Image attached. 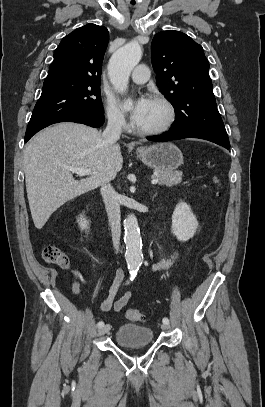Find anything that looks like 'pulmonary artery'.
Here are the masks:
<instances>
[{
	"label": "pulmonary artery",
	"mask_w": 265,
	"mask_h": 407,
	"mask_svg": "<svg viewBox=\"0 0 265 407\" xmlns=\"http://www.w3.org/2000/svg\"><path fill=\"white\" fill-rule=\"evenodd\" d=\"M149 69L146 65H138L135 67L131 74V80L135 84H143L145 83L148 78H149Z\"/></svg>",
	"instance_id": "pulmonary-artery-1"
}]
</instances>
